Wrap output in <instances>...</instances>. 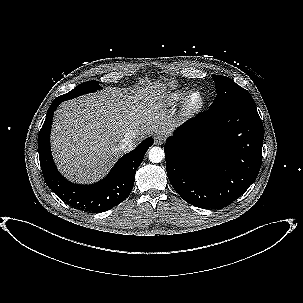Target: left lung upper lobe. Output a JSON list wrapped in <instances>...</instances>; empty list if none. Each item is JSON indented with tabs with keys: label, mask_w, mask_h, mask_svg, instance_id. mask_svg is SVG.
<instances>
[{
	"label": "left lung upper lobe",
	"mask_w": 303,
	"mask_h": 303,
	"mask_svg": "<svg viewBox=\"0 0 303 303\" xmlns=\"http://www.w3.org/2000/svg\"><path fill=\"white\" fill-rule=\"evenodd\" d=\"M212 78L216 84L217 96L209 109L215 110L245 105L255 106L250 93L230 78L220 75H212Z\"/></svg>",
	"instance_id": "obj_1"
}]
</instances>
